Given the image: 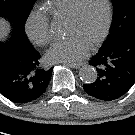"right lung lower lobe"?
Listing matches in <instances>:
<instances>
[{"instance_id":"right-lung-lower-lobe-1","label":"right lung lower lobe","mask_w":135,"mask_h":135,"mask_svg":"<svg viewBox=\"0 0 135 135\" xmlns=\"http://www.w3.org/2000/svg\"><path fill=\"white\" fill-rule=\"evenodd\" d=\"M39 58L26 35L14 29L8 40L0 42V93L15 103L39 98L53 71L40 68Z\"/></svg>"}]
</instances>
